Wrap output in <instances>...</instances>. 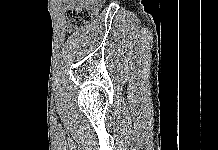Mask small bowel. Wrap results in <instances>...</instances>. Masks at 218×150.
<instances>
[{
	"mask_svg": "<svg viewBox=\"0 0 218 150\" xmlns=\"http://www.w3.org/2000/svg\"><path fill=\"white\" fill-rule=\"evenodd\" d=\"M69 8L79 7H91L95 5H101L103 0H64Z\"/></svg>",
	"mask_w": 218,
	"mask_h": 150,
	"instance_id": "obj_1",
	"label": "small bowel"
}]
</instances>
